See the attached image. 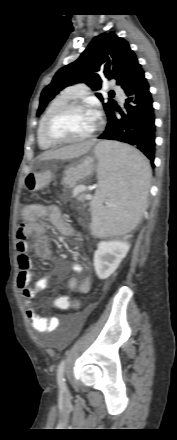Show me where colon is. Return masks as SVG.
Masks as SVG:
<instances>
[{
  "instance_id": "5ec220e1",
  "label": "colon",
  "mask_w": 177,
  "mask_h": 440,
  "mask_svg": "<svg viewBox=\"0 0 177 440\" xmlns=\"http://www.w3.org/2000/svg\"><path fill=\"white\" fill-rule=\"evenodd\" d=\"M53 183V175L49 171L29 174L26 186L29 190L44 188ZM83 303L81 298H54L52 306L55 311H75Z\"/></svg>"
}]
</instances>
